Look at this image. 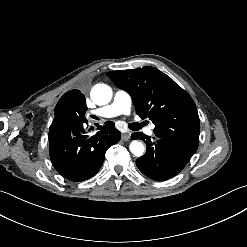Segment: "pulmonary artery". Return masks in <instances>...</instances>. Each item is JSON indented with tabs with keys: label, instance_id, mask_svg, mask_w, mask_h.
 <instances>
[{
	"label": "pulmonary artery",
	"instance_id": "obj_1",
	"mask_svg": "<svg viewBox=\"0 0 247 247\" xmlns=\"http://www.w3.org/2000/svg\"><path fill=\"white\" fill-rule=\"evenodd\" d=\"M133 98L132 95L123 89L116 90L113 100L110 104L98 108L96 110L90 111L87 113L86 118L88 122H92V116H96L98 118H113L120 114L129 113L131 110ZM139 121L138 119L136 120ZM139 128L142 126L139 125ZM155 124H151L147 129L146 132L150 136H155L154 133ZM144 134L143 132L141 133Z\"/></svg>",
	"mask_w": 247,
	"mask_h": 247
}]
</instances>
